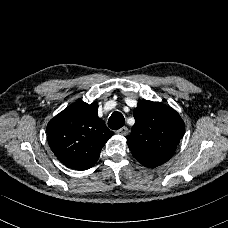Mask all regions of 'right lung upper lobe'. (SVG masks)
Masks as SVG:
<instances>
[{
	"label": "right lung upper lobe",
	"mask_w": 228,
	"mask_h": 228,
	"mask_svg": "<svg viewBox=\"0 0 228 228\" xmlns=\"http://www.w3.org/2000/svg\"><path fill=\"white\" fill-rule=\"evenodd\" d=\"M97 110V102L78 101L48 123V143L65 166L75 170L91 168L113 135L105 122L98 118Z\"/></svg>",
	"instance_id": "obj_1"
}]
</instances>
